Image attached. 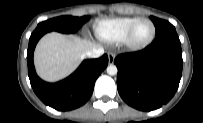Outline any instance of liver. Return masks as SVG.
Returning a JSON list of instances; mask_svg holds the SVG:
<instances>
[{
    "mask_svg": "<svg viewBox=\"0 0 203 123\" xmlns=\"http://www.w3.org/2000/svg\"><path fill=\"white\" fill-rule=\"evenodd\" d=\"M94 47H98V44L74 35L48 33L35 49L34 63L37 74L48 82L61 80L70 75L85 53Z\"/></svg>",
    "mask_w": 203,
    "mask_h": 123,
    "instance_id": "1",
    "label": "liver"
}]
</instances>
